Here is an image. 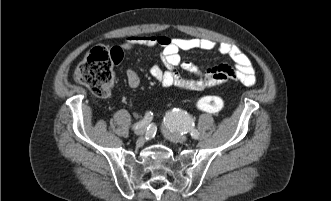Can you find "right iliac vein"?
<instances>
[{
    "mask_svg": "<svg viewBox=\"0 0 331 201\" xmlns=\"http://www.w3.org/2000/svg\"><path fill=\"white\" fill-rule=\"evenodd\" d=\"M146 131V128L144 126H140L137 129H135V134L136 135H143Z\"/></svg>",
    "mask_w": 331,
    "mask_h": 201,
    "instance_id": "63e3f726",
    "label": "right iliac vein"
}]
</instances>
